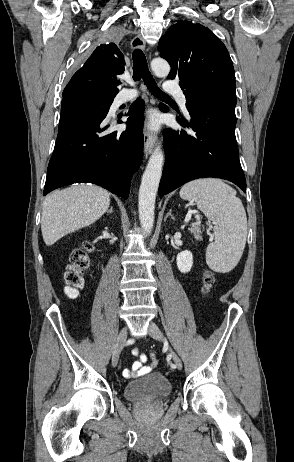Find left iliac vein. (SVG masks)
<instances>
[{
	"label": "left iliac vein",
	"mask_w": 294,
	"mask_h": 462,
	"mask_svg": "<svg viewBox=\"0 0 294 462\" xmlns=\"http://www.w3.org/2000/svg\"><path fill=\"white\" fill-rule=\"evenodd\" d=\"M148 333L155 340L162 341V342L165 341V338L163 337L162 333L160 332L158 326L153 322H151L149 324ZM170 352L172 353V357H173V360H174V363H175L174 365L176 366V368L181 369L182 368V362H181L180 358L172 350H170Z\"/></svg>",
	"instance_id": "obj_1"
}]
</instances>
